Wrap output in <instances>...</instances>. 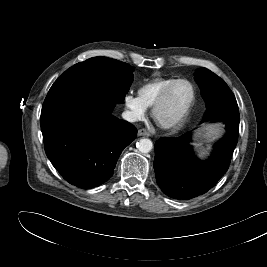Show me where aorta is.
I'll return each mask as SVG.
<instances>
[{"instance_id":"obj_1","label":"aorta","mask_w":267,"mask_h":267,"mask_svg":"<svg viewBox=\"0 0 267 267\" xmlns=\"http://www.w3.org/2000/svg\"><path fill=\"white\" fill-rule=\"evenodd\" d=\"M136 147L141 153H148L152 150L153 143L150 139L143 138L137 142Z\"/></svg>"}]
</instances>
